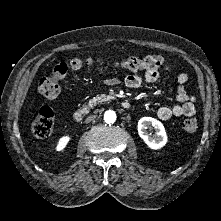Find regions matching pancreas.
Instances as JSON below:
<instances>
[{
	"mask_svg": "<svg viewBox=\"0 0 221 221\" xmlns=\"http://www.w3.org/2000/svg\"><path fill=\"white\" fill-rule=\"evenodd\" d=\"M112 99H113V96H111V95L99 94V95L91 98L88 101V104L90 107H94V106H96L97 103L107 102Z\"/></svg>",
	"mask_w": 221,
	"mask_h": 221,
	"instance_id": "cf45deb5",
	"label": "pancreas"
}]
</instances>
